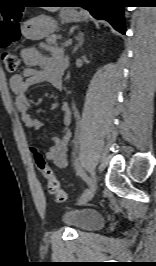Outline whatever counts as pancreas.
Here are the masks:
<instances>
[{
  "mask_svg": "<svg viewBox=\"0 0 156 266\" xmlns=\"http://www.w3.org/2000/svg\"><path fill=\"white\" fill-rule=\"evenodd\" d=\"M57 39H60L59 35H50L46 39V44H42V46L45 49L52 51L54 48H56L58 46Z\"/></svg>",
  "mask_w": 156,
  "mask_h": 266,
  "instance_id": "cf45deb5",
  "label": "pancreas"
}]
</instances>
